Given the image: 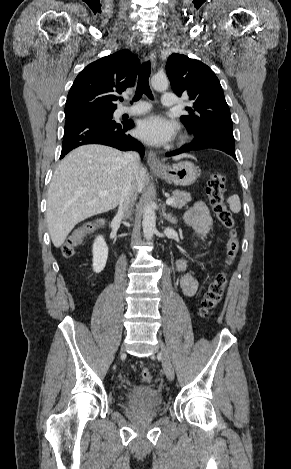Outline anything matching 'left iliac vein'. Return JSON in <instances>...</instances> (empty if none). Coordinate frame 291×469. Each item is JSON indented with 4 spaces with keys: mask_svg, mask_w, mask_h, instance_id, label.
Masks as SVG:
<instances>
[{
    "mask_svg": "<svg viewBox=\"0 0 291 469\" xmlns=\"http://www.w3.org/2000/svg\"><path fill=\"white\" fill-rule=\"evenodd\" d=\"M159 345H160V357L164 369V373L167 377L168 380L172 381L174 379V369L168 354V351L164 345V343L159 339Z\"/></svg>",
    "mask_w": 291,
    "mask_h": 469,
    "instance_id": "4c4485c4",
    "label": "left iliac vein"
}]
</instances>
